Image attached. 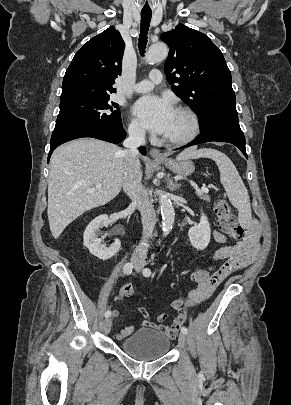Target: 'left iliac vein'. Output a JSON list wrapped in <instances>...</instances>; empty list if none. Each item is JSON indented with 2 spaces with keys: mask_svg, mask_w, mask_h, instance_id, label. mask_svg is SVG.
I'll return each mask as SVG.
<instances>
[{
  "mask_svg": "<svg viewBox=\"0 0 291 405\" xmlns=\"http://www.w3.org/2000/svg\"><path fill=\"white\" fill-rule=\"evenodd\" d=\"M141 270V266H137L136 267V271H140ZM178 343L179 346L183 349L186 350V335L183 333H180L179 338H178ZM187 365L189 368L192 367L190 360L188 359L187 361Z\"/></svg>",
  "mask_w": 291,
  "mask_h": 405,
  "instance_id": "1",
  "label": "left iliac vein"
}]
</instances>
